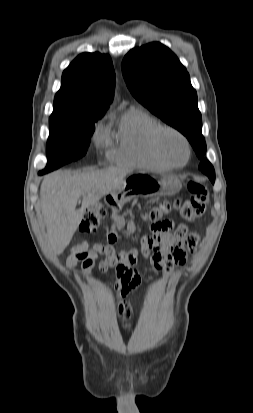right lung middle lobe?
<instances>
[{
    "label": "right lung middle lobe",
    "instance_id": "right-lung-middle-lobe-1",
    "mask_svg": "<svg viewBox=\"0 0 253 413\" xmlns=\"http://www.w3.org/2000/svg\"><path fill=\"white\" fill-rule=\"evenodd\" d=\"M101 117H50L47 165L42 173L75 161L87 152L95 126Z\"/></svg>",
    "mask_w": 253,
    "mask_h": 413
}]
</instances>
